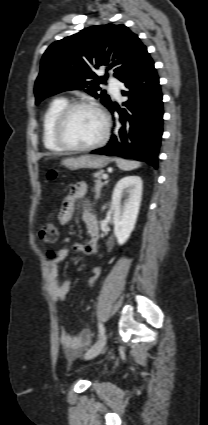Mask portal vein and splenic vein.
Returning <instances> with one entry per match:
<instances>
[{"label": "portal vein and splenic vein", "mask_w": 208, "mask_h": 425, "mask_svg": "<svg viewBox=\"0 0 208 425\" xmlns=\"http://www.w3.org/2000/svg\"><path fill=\"white\" fill-rule=\"evenodd\" d=\"M102 178H103L104 180H106V179H108V175H107V174H103V175H102Z\"/></svg>", "instance_id": "18ae733b"}]
</instances>
